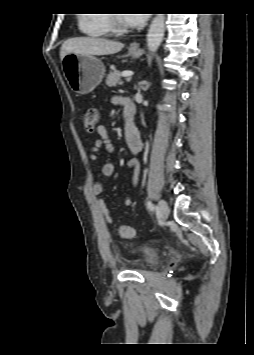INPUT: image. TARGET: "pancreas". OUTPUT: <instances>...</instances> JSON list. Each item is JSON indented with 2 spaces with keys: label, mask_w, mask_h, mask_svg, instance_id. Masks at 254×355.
<instances>
[{
  "label": "pancreas",
  "mask_w": 254,
  "mask_h": 355,
  "mask_svg": "<svg viewBox=\"0 0 254 355\" xmlns=\"http://www.w3.org/2000/svg\"><path fill=\"white\" fill-rule=\"evenodd\" d=\"M123 82L120 79V72L116 69L110 71L106 78V85L109 87H115L116 85H122Z\"/></svg>",
  "instance_id": "pancreas-1"
}]
</instances>
